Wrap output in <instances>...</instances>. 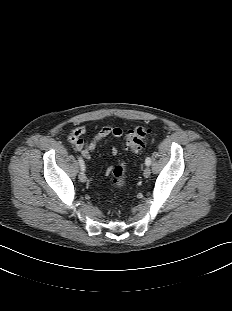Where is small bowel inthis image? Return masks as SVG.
<instances>
[{"label": "small bowel", "mask_w": 232, "mask_h": 311, "mask_svg": "<svg viewBox=\"0 0 232 311\" xmlns=\"http://www.w3.org/2000/svg\"><path fill=\"white\" fill-rule=\"evenodd\" d=\"M86 132V126L80 125L73 128L67 135L68 143L77 151L80 152L87 160L90 159V153L96 148L99 142L108 136L120 138L123 135V130L120 127L110 125L103 126L99 132L89 141L86 142L82 136ZM112 155L117 154V149L112 148Z\"/></svg>", "instance_id": "1"}]
</instances>
